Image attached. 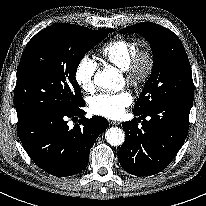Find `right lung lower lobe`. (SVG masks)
I'll return each instance as SVG.
<instances>
[{
	"instance_id": "1",
	"label": "right lung lower lobe",
	"mask_w": 206,
	"mask_h": 206,
	"mask_svg": "<svg viewBox=\"0 0 206 206\" xmlns=\"http://www.w3.org/2000/svg\"><path fill=\"white\" fill-rule=\"evenodd\" d=\"M59 113H43L17 124L21 143L34 163L58 177L74 175L88 164L97 137L109 126L105 118L87 119L82 107ZM68 118L78 121L72 129Z\"/></svg>"
}]
</instances>
